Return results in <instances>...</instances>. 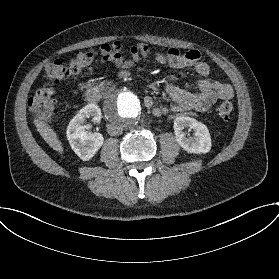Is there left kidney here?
Here are the masks:
<instances>
[{"instance_id":"5707ae66","label":"left kidney","mask_w":279,"mask_h":279,"mask_svg":"<svg viewBox=\"0 0 279 279\" xmlns=\"http://www.w3.org/2000/svg\"><path fill=\"white\" fill-rule=\"evenodd\" d=\"M185 127L194 131L193 137H187ZM173 129L178 144L188 153H207L211 149V137L205 124L189 116H178L174 120Z\"/></svg>"}]
</instances>
